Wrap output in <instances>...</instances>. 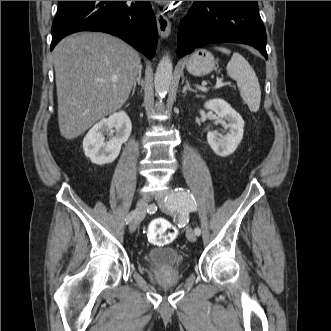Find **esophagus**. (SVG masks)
I'll return each mask as SVG.
<instances>
[{
	"instance_id": "34e87169",
	"label": "esophagus",
	"mask_w": 331,
	"mask_h": 331,
	"mask_svg": "<svg viewBox=\"0 0 331 331\" xmlns=\"http://www.w3.org/2000/svg\"><path fill=\"white\" fill-rule=\"evenodd\" d=\"M156 22L159 35L162 38H167L171 33V23L169 19L158 10L156 13Z\"/></svg>"
}]
</instances>
